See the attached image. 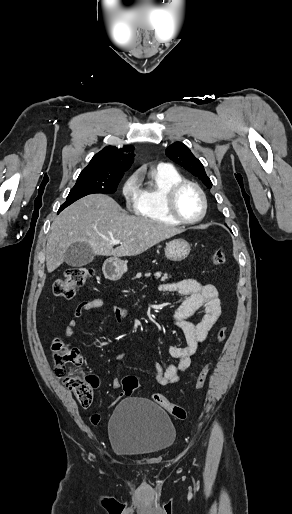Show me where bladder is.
Wrapping results in <instances>:
<instances>
[{
  "mask_svg": "<svg viewBox=\"0 0 292 514\" xmlns=\"http://www.w3.org/2000/svg\"><path fill=\"white\" fill-rule=\"evenodd\" d=\"M109 437L117 455L146 457L170 448L176 430L168 414L157 404L127 398L117 404L110 417Z\"/></svg>",
  "mask_w": 292,
  "mask_h": 514,
  "instance_id": "bladder-1",
  "label": "bladder"
}]
</instances>
